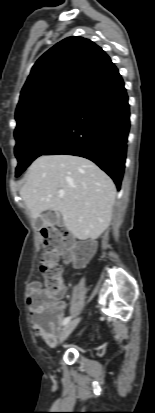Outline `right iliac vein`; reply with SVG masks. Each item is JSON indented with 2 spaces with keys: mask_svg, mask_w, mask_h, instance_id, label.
<instances>
[{
  "mask_svg": "<svg viewBox=\"0 0 155 413\" xmlns=\"http://www.w3.org/2000/svg\"><path fill=\"white\" fill-rule=\"evenodd\" d=\"M79 322L80 318L74 319L63 328L60 336L61 342H63L73 332V330L76 328Z\"/></svg>",
  "mask_w": 155,
  "mask_h": 413,
  "instance_id": "1",
  "label": "right iliac vein"
}]
</instances>
